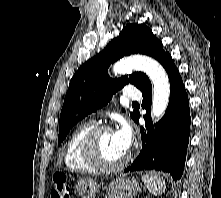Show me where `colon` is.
Here are the masks:
<instances>
[{
  "instance_id": "obj_1",
  "label": "colon",
  "mask_w": 221,
  "mask_h": 198,
  "mask_svg": "<svg viewBox=\"0 0 221 198\" xmlns=\"http://www.w3.org/2000/svg\"><path fill=\"white\" fill-rule=\"evenodd\" d=\"M51 198H71L70 186L66 181L65 175L62 173H57L53 177Z\"/></svg>"
}]
</instances>
